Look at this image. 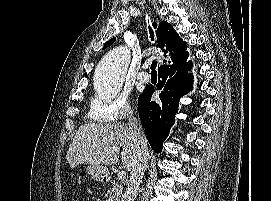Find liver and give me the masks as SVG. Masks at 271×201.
Returning <instances> with one entry per match:
<instances>
[{
	"label": "liver",
	"mask_w": 271,
	"mask_h": 201,
	"mask_svg": "<svg viewBox=\"0 0 271 201\" xmlns=\"http://www.w3.org/2000/svg\"><path fill=\"white\" fill-rule=\"evenodd\" d=\"M121 161L131 171L136 156L129 127L124 123H88L80 126L70 144L66 159L71 168L79 164H115Z\"/></svg>",
	"instance_id": "liver-1"
}]
</instances>
